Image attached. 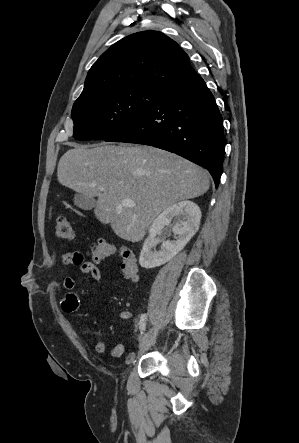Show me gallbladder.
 Returning a JSON list of instances; mask_svg holds the SVG:
<instances>
[{"mask_svg": "<svg viewBox=\"0 0 299 443\" xmlns=\"http://www.w3.org/2000/svg\"><path fill=\"white\" fill-rule=\"evenodd\" d=\"M73 201L77 207L85 211H90L95 207L94 198L81 193L75 194Z\"/></svg>", "mask_w": 299, "mask_h": 443, "instance_id": "bac80fb5", "label": "gallbladder"}]
</instances>
